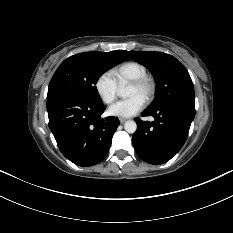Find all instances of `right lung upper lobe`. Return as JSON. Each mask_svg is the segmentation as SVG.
<instances>
[{
  "label": "right lung upper lobe",
  "instance_id": "obj_1",
  "mask_svg": "<svg viewBox=\"0 0 233 233\" xmlns=\"http://www.w3.org/2000/svg\"><path fill=\"white\" fill-rule=\"evenodd\" d=\"M123 52H124L125 57L128 59V57H127L126 54H125L126 51H123Z\"/></svg>",
  "mask_w": 233,
  "mask_h": 233
}]
</instances>
